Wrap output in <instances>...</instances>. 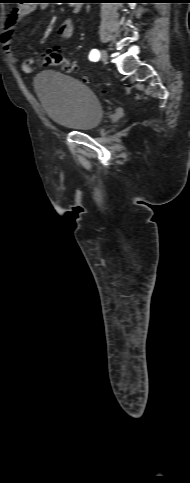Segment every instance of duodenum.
Segmentation results:
<instances>
[{"label": "duodenum", "mask_w": 190, "mask_h": 483, "mask_svg": "<svg viewBox=\"0 0 190 483\" xmlns=\"http://www.w3.org/2000/svg\"><path fill=\"white\" fill-rule=\"evenodd\" d=\"M74 10L77 11L78 10V7H74Z\"/></svg>", "instance_id": "1"}]
</instances>
